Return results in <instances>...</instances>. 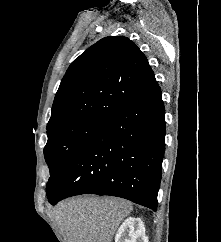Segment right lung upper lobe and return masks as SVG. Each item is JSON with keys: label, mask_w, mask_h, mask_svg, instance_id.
<instances>
[{"label": "right lung upper lobe", "mask_w": 221, "mask_h": 242, "mask_svg": "<svg viewBox=\"0 0 221 242\" xmlns=\"http://www.w3.org/2000/svg\"><path fill=\"white\" fill-rule=\"evenodd\" d=\"M155 82L147 58L130 39L105 37L69 66L47 131L81 119L104 120Z\"/></svg>", "instance_id": "1"}]
</instances>
